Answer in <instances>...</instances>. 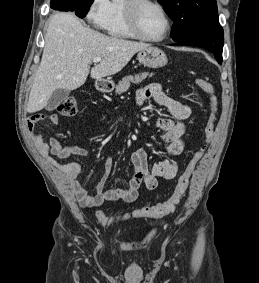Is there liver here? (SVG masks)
Masks as SVG:
<instances>
[{
	"label": "liver",
	"mask_w": 259,
	"mask_h": 283,
	"mask_svg": "<svg viewBox=\"0 0 259 283\" xmlns=\"http://www.w3.org/2000/svg\"><path fill=\"white\" fill-rule=\"evenodd\" d=\"M149 47L142 42L110 37L84 26L72 13H55L45 34L41 63L30 91L27 111L46 107L57 89L82 86L90 72L100 80L121 71L138 51ZM101 61L90 71L94 58Z\"/></svg>",
	"instance_id": "6515ba94"
}]
</instances>
